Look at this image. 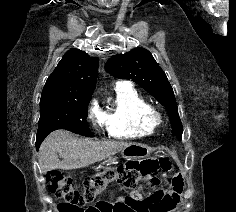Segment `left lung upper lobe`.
Here are the masks:
<instances>
[{
    "mask_svg": "<svg viewBox=\"0 0 236 212\" xmlns=\"http://www.w3.org/2000/svg\"><path fill=\"white\" fill-rule=\"evenodd\" d=\"M106 70L116 78L131 79L155 97L169 113L172 133L181 138L183 127L173 89L165 72L147 49L137 48L114 55L107 61Z\"/></svg>",
    "mask_w": 236,
    "mask_h": 212,
    "instance_id": "1",
    "label": "left lung upper lobe"
}]
</instances>
